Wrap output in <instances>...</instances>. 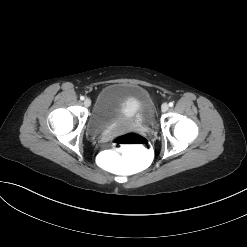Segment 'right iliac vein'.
Returning a JSON list of instances; mask_svg holds the SVG:
<instances>
[{
    "mask_svg": "<svg viewBox=\"0 0 247 247\" xmlns=\"http://www.w3.org/2000/svg\"><path fill=\"white\" fill-rule=\"evenodd\" d=\"M84 105H85L86 107H89V106L91 105V100H90L89 98H86V99L84 100Z\"/></svg>",
    "mask_w": 247,
    "mask_h": 247,
    "instance_id": "63e3f726",
    "label": "right iliac vein"
}]
</instances>
